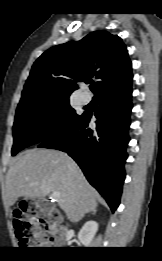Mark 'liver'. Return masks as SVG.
I'll use <instances>...</instances> for the list:
<instances>
[{
	"instance_id": "obj_1",
	"label": "liver",
	"mask_w": 162,
	"mask_h": 261,
	"mask_svg": "<svg viewBox=\"0 0 162 261\" xmlns=\"http://www.w3.org/2000/svg\"><path fill=\"white\" fill-rule=\"evenodd\" d=\"M55 191L60 193L58 205L72 222L96 211L99 195L77 164L63 152L34 148L9 168L3 199L13 206L19 197L43 198Z\"/></svg>"
}]
</instances>
